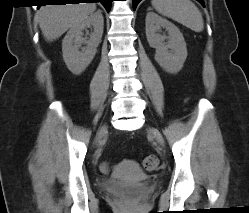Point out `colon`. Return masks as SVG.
I'll list each match as a JSON object with an SVG mask.
<instances>
[{
  "mask_svg": "<svg viewBox=\"0 0 249 213\" xmlns=\"http://www.w3.org/2000/svg\"><path fill=\"white\" fill-rule=\"evenodd\" d=\"M159 166V160L155 155L146 156L143 160V167L146 170H154ZM106 168V165H104Z\"/></svg>",
  "mask_w": 249,
  "mask_h": 213,
  "instance_id": "obj_1",
  "label": "colon"
}]
</instances>
